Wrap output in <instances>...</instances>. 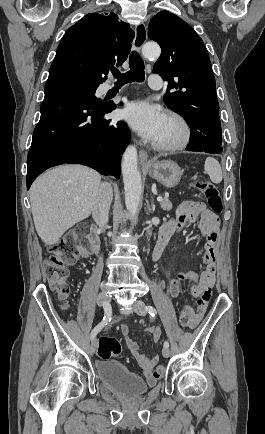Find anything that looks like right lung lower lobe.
<instances>
[{
    "label": "right lung lower lobe",
    "mask_w": 265,
    "mask_h": 434,
    "mask_svg": "<svg viewBox=\"0 0 265 434\" xmlns=\"http://www.w3.org/2000/svg\"><path fill=\"white\" fill-rule=\"evenodd\" d=\"M97 87L66 78L47 80L28 153L27 189L43 171L64 163L83 164L119 178L121 154L131 134L124 122L113 124L104 118L117 105L97 104L91 97Z\"/></svg>",
    "instance_id": "right-lung-lower-lobe-1"
}]
</instances>
